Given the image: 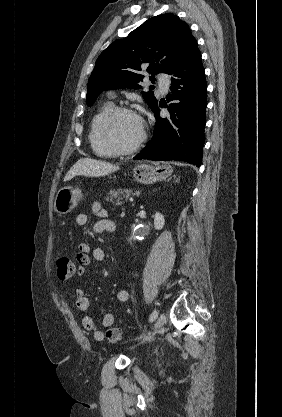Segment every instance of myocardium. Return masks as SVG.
<instances>
[{
    "mask_svg": "<svg viewBox=\"0 0 282 417\" xmlns=\"http://www.w3.org/2000/svg\"><path fill=\"white\" fill-rule=\"evenodd\" d=\"M120 115H132L136 117L140 121L141 125V134L140 137L132 144L125 145V146H119L116 145L110 136V129L114 122V120L119 117ZM101 139L104 144V146L112 153H126L133 151L137 148H139L147 137V131L144 124V120L142 117L134 110L125 108V107H115L113 108L103 119L101 124Z\"/></svg>",
    "mask_w": 282,
    "mask_h": 417,
    "instance_id": "myocardium-1",
    "label": "myocardium"
}]
</instances>
